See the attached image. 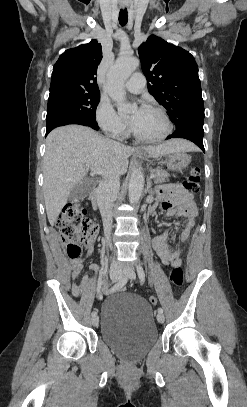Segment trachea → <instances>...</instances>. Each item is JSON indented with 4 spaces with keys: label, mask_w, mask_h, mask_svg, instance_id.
Wrapping results in <instances>:
<instances>
[{
    "label": "trachea",
    "mask_w": 247,
    "mask_h": 407,
    "mask_svg": "<svg viewBox=\"0 0 247 407\" xmlns=\"http://www.w3.org/2000/svg\"><path fill=\"white\" fill-rule=\"evenodd\" d=\"M128 21V12L127 9H121L119 12V23L121 26H125Z\"/></svg>",
    "instance_id": "3493384b"
}]
</instances>
